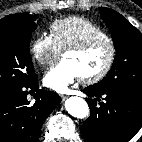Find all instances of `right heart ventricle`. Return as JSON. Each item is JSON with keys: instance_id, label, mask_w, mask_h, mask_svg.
<instances>
[{"instance_id": "right-heart-ventricle-1", "label": "right heart ventricle", "mask_w": 142, "mask_h": 142, "mask_svg": "<svg viewBox=\"0 0 142 142\" xmlns=\"http://www.w3.org/2000/svg\"><path fill=\"white\" fill-rule=\"evenodd\" d=\"M49 29L50 36L60 51L90 37L109 38L98 24L82 16H69L56 20Z\"/></svg>"}]
</instances>
